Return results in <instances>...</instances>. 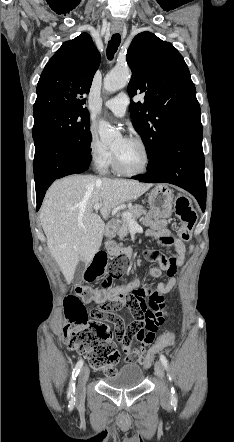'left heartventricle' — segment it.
Masks as SVG:
<instances>
[{
	"instance_id": "left-heart-ventricle-1",
	"label": "left heart ventricle",
	"mask_w": 234,
	"mask_h": 442,
	"mask_svg": "<svg viewBox=\"0 0 234 442\" xmlns=\"http://www.w3.org/2000/svg\"><path fill=\"white\" fill-rule=\"evenodd\" d=\"M112 149L117 154L118 160L124 169L135 171L143 166L144 153L137 143L119 139Z\"/></svg>"
}]
</instances>
